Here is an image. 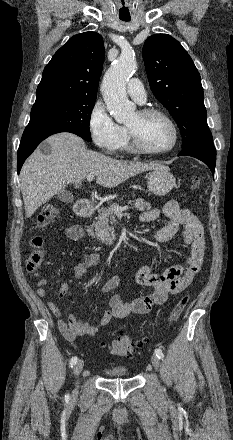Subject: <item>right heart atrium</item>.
I'll list each match as a JSON object with an SVG mask.
<instances>
[{"instance_id": "obj_1", "label": "right heart atrium", "mask_w": 233, "mask_h": 440, "mask_svg": "<svg viewBox=\"0 0 233 440\" xmlns=\"http://www.w3.org/2000/svg\"><path fill=\"white\" fill-rule=\"evenodd\" d=\"M91 138L105 154L116 153L124 141L126 130L117 124L101 102H96L88 119Z\"/></svg>"}]
</instances>
